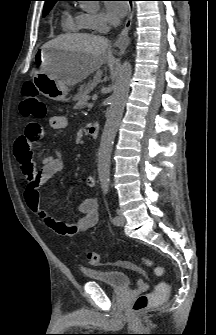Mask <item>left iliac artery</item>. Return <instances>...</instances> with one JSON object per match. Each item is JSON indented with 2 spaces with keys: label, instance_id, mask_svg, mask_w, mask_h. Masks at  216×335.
Masks as SVG:
<instances>
[{
  "label": "left iliac artery",
  "instance_id": "1",
  "mask_svg": "<svg viewBox=\"0 0 216 335\" xmlns=\"http://www.w3.org/2000/svg\"><path fill=\"white\" fill-rule=\"evenodd\" d=\"M102 188H103V192L104 194H108V191H109V183H105L102 185ZM119 218L118 216H114L112 221L113 223L115 224L116 222H118Z\"/></svg>",
  "mask_w": 216,
  "mask_h": 335
}]
</instances>
